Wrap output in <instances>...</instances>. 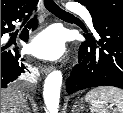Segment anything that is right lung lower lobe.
I'll use <instances>...</instances> for the list:
<instances>
[{
    "label": "right lung lower lobe",
    "mask_w": 123,
    "mask_h": 113,
    "mask_svg": "<svg viewBox=\"0 0 123 113\" xmlns=\"http://www.w3.org/2000/svg\"><path fill=\"white\" fill-rule=\"evenodd\" d=\"M38 1L31 3L25 9L15 12H9L1 15V37L14 29L13 21H21L23 15L33 8ZM37 27V20L32 19L27 25L28 29H35ZM24 29L20 34V38L24 41L28 40L29 30ZM8 45H1V88H6L8 83L13 82L24 72V59L18 52V47L8 50Z\"/></svg>",
    "instance_id": "98d812e1"
}]
</instances>
